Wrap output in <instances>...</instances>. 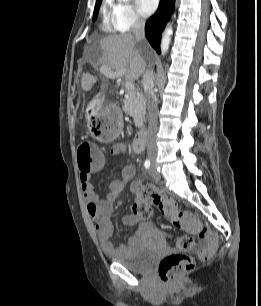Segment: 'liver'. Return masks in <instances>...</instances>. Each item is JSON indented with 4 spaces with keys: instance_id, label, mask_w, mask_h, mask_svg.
<instances>
[{
    "instance_id": "6515ba94",
    "label": "liver",
    "mask_w": 261,
    "mask_h": 306,
    "mask_svg": "<svg viewBox=\"0 0 261 306\" xmlns=\"http://www.w3.org/2000/svg\"><path fill=\"white\" fill-rule=\"evenodd\" d=\"M138 40L132 34L110 35L100 40L99 46L103 51L100 63L107 69L117 72L126 70L125 79L134 81L138 79L146 69V62L136 48ZM98 78L89 73H84L81 79V87L85 91L91 90Z\"/></svg>"
}]
</instances>
